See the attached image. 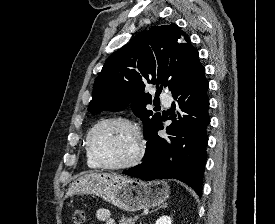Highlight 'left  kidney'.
Returning a JSON list of instances; mask_svg holds the SVG:
<instances>
[{
    "instance_id": "obj_1",
    "label": "left kidney",
    "mask_w": 275,
    "mask_h": 224,
    "mask_svg": "<svg viewBox=\"0 0 275 224\" xmlns=\"http://www.w3.org/2000/svg\"><path fill=\"white\" fill-rule=\"evenodd\" d=\"M156 224H172V220L168 216H162L156 221Z\"/></svg>"
}]
</instances>
